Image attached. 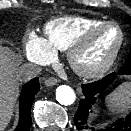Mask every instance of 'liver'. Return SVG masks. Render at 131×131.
Listing matches in <instances>:
<instances>
[{
  "mask_svg": "<svg viewBox=\"0 0 131 131\" xmlns=\"http://www.w3.org/2000/svg\"><path fill=\"white\" fill-rule=\"evenodd\" d=\"M17 71L16 57L0 45V131H3L8 125L18 97Z\"/></svg>",
  "mask_w": 131,
  "mask_h": 131,
  "instance_id": "1",
  "label": "liver"
}]
</instances>
